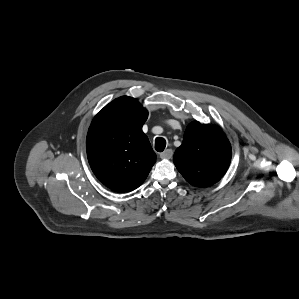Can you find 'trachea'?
<instances>
[{"mask_svg":"<svg viewBox=\"0 0 299 299\" xmlns=\"http://www.w3.org/2000/svg\"><path fill=\"white\" fill-rule=\"evenodd\" d=\"M166 147V140L162 137H157L155 139V149L158 152H162Z\"/></svg>","mask_w":299,"mask_h":299,"instance_id":"3493384b","label":"trachea"}]
</instances>
